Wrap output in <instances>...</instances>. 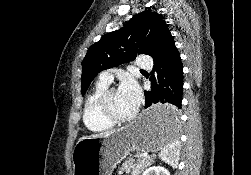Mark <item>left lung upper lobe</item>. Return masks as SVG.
<instances>
[{
    "instance_id": "1",
    "label": "left lung upper lobe",
    "mask_w": 251,
    "mask_h": 175,
    "mask_svg": "<svg viewBox=\"0 0 251 175\" xmlns=\"http://www.w3.org/2000/svg\"><path fill=\"white\" fill-rule=\"evenodd\" d=\"M163 16L145 10L131 18L123 28L105 34L87 51L82 62L81 93L102 70L134 60L139 54L153 56L169 33Z\"/></svg>"
}]
</instances>
